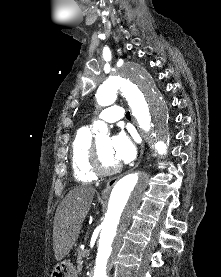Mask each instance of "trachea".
Masks as SVG:
<instances>
[{
	"instance_id": "trachea-1",
	"label": "trachea",
	"mask_w": 221,
	"mask_h": 277,
	"mask_svg": "<svg viewBox=\"0 0 221 277\" xmlns=\"http://www.w3.org/2000/svg\"><path fill=\"white\" fill-rule=\"evenodd\" d=\"M126 118H127V119H131V115H130L129 112L126 113Z\"/></svg>"
}]
</instances>
